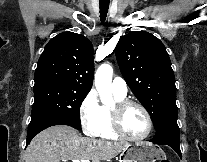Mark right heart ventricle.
I'll return each mask as SVG.
<instances>
[{
    "label": "right heart ventricle",
    "mask_w": 207,
    "mask_h": 162,
    "mask_svg": "<svg viewBox=\"0 0 207 162\" xmlns=\"http://www.w3.org/2000/svg\"><path fill=\"white\" fill-rule=\"evenodd\" d=\"M124 98L125 97L116 96L118 101L124 100ZM101 114L102 122L97 136L106 140H116L117 136L114 134L111 127L109 109L106 106H101Z\"/></svg>",
    "instance_id": "1"
}]
</instances>
